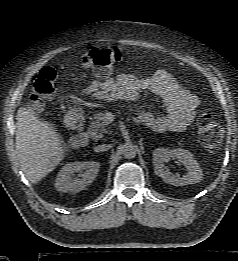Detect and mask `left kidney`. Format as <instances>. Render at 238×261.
I'll list each match as a JSON object with an SVG mask.
<instances>
[{"label": "left kidney", "mask_w": 238, "mask_h": 261, "mask_svg": "<svg viewBox=\"0 0 238 261\" xmlns=\"http://www.w3.org/2000/svg\"><path fill=\"white\" fill-rule=\"evenodd\" d=\"M171 158L179 159L186 167L187 174L183 177L172 176L164 165ZM153 165L155 174L163 179L165 183L174 186H185L195 184L202 180L203 172L193 155L185 149L177 148L168 150L157 148L153 151Z\"/></svg>", "instance_id": "5707ae66"}]
</instances>
